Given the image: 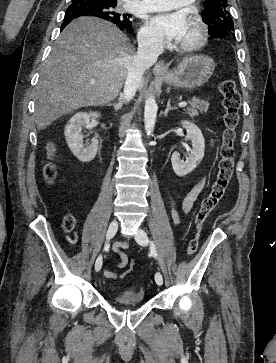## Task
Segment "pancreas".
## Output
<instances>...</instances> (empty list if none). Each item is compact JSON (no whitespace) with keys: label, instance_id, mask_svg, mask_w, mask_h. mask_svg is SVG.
<instances>
[{"label":"pancreas","instance_id":"pancreas-1","mask_svg":"<svg viewBox=\"0 0 276 363\" xmlns=\"http://www.w3.org/2000/svg\"><path fill=\"white\" fill-rule=\"evenodd\" d=\"M190 107H187L186 113L190 117L198 116L199 113H206L209 108L208 101L200 100L197 98H192L191 101H189Z\"/></svg>","mask_w":276,"mask_h":363}]
</instances>
